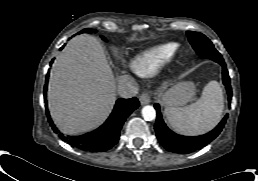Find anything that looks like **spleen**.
Wrapping results in <instances>:
<instances>
[{"instance_id": "1", "label": "spleen", "mask_w": 258, "mask_h": 181, "mask_svg": "<svg viewBox=\"0 0 258 181\" xmlns=\"http://www.w3.org/2000/svg\"><path fill=\"white\" fill-rule=\"evenodd\" d=\"M224 109L223 91L217 81H210L201 97L185 107H167L165 116L170 126L184 135H199L213 129Z\"/></svg>"}]
</instances>
